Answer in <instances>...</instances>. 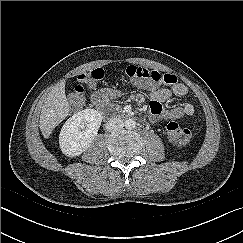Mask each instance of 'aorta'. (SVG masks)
<instances>
[{
  "label": "aorta",
  "instance_id": "aorta-1",
  "mask_svg": "<svg viewBox=\"0 0 243 243\" xmlns=\"http://www.w3.org/2000/svg\"><path fill=\"white\" fill-rule=\"evenodd\" d=\"M124 126L126 129L131 130V129L135 128L136 122L133 119L129 118V119L125 120Z\"/></svg>",
  "mask_w": 243,
  "mask_h": 243
}]
</instances>
